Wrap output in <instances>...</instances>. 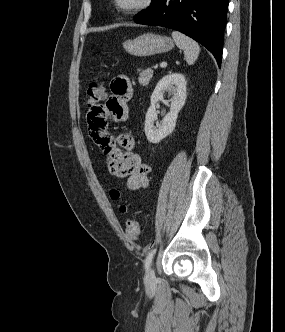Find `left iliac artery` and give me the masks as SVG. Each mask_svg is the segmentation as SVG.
<instances>
[{"label":"left iliac artery","mask_w":285,"mask_h":332,"mask_svg":"<svg viewBox=\"0 0 285 332\" xmlns=\"http://www.w3.org/2000/svg\"><path fill=\"white\" fill-rule=\"evenodd\" d=\"M155 252H156V249H154V248H152V249L148 252V254H147V256H146V259H145V269H146V270L149 269V267H150V265H151V263H152V259H153V256H154Z\"/></svg>","instance_id":"obj_1"}]
</instances>
